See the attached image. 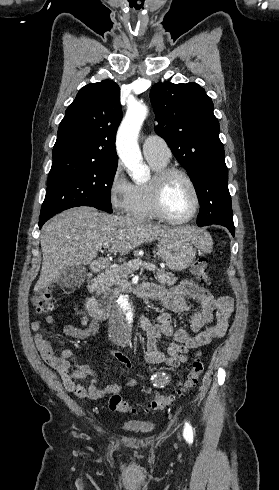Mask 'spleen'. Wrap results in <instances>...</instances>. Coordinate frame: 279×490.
Wrapping results in <instances>:
<instances>
[{
    "label": "spleen",
    "instance_id": "3e777b00",
    "mask_svg": "<svg viewBox=\"0 0 279 490\" xmlns=\"http://www.w3.org/2000/svg\"><path fill=\"white\" fill-rule=\"evenodd\" d=\"M201 240H202V250L201 252H205V254H209V252H212V242L211 238H209V234H206V232H201Z\"/></svg>",
    "mask_w": 279,
    "mask_h": 490
}]
</instances>
